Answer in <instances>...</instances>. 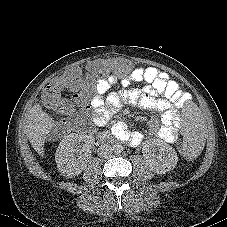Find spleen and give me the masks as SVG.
I'll list each match as a JSON object with an SVG mask.
<instances>
[{"label":"spleen","mask_w":227,"mask_h":227,"mask_svg":"<svg viewBox=\"0 0 227 227\" xmlns=\"http://www.w3.org/2000/svg\"><path fill=\"white\" fill-rule=\"evenodd\" d=\"M182 120V140L185 149L191 153H198L205 146L203 133V119L200 109L193 102H186L179 109Z\"/></svg>","instance_id":"1"}]
</instances>
